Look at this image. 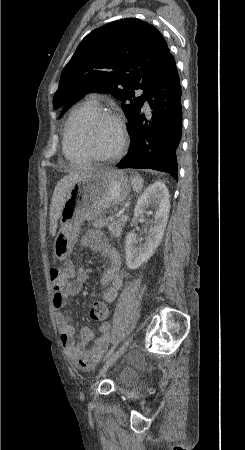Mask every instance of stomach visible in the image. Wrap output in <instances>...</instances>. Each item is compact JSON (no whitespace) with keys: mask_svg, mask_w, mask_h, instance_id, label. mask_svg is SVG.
I'll use <instances>...</instances> for the list:
<instances>
[{"mask_svg":"<svg viewBox=\"0 0 245 450\" xmlns=\"http://www.w3.org/2000/svg\"><path fill=\"white\" fill-rule=\"evenodd\" d=\"M131 182L122 171L97 168L76 180L67 193L60 214L53 254L59 261L72 253L80 228L85 220H93L109 208L123 203L130 193Z\"/></svg>","mask_w":245,"mask_h":450,"instance_id":"stomach-1","label":"stomach"}]
</instances>
